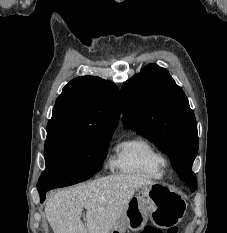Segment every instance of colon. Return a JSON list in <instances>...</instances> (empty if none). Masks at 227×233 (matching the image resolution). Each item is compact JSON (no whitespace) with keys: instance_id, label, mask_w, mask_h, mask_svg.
Wrapping results in <instances>:
<instances>
[{"instance_id":"obj_1","label":"colon","mask_w":227,"mask_h":233,"mask_svg":"<svg viewBox=\"0 0 227 233\" xmlns=\"http://www.w3.org/2000/svg\"><path fill=\"white\" fill-rule=\"evenodd\" d=\"M176 228H172L167 231V233H177ZM140 233H163L160 229L154 227V226H146L142 229Z\"/></svg>"}]
</instances>
